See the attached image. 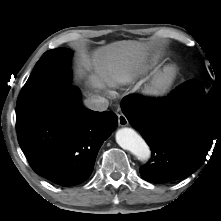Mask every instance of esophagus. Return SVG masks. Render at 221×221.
<instances>
[{
    "mask_svg": "<svg viewBox=\"0 0 221 221\" xmlns=\"http://www.w3.org/2000/svg\"><path fill=\"white\" fill-rule=\"evenodd\" d=\"M118 123H119V126H122V127L128 125V120L124 114L122 113L118 114Z\"/></svg>",
    "mask_w": 221,
    "mask_h": 221,
    "instance_id": "34e87169",
    "label": "esophagus"
}]
</instances>
